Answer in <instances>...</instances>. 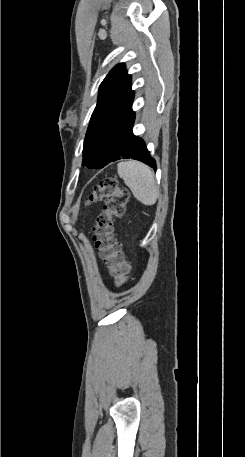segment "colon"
Wrapping results in <instances>:
<instances>
[{"label": "colon", "instance_id": "obj_1", "mask_svg": "<svg viewBox=\"0 0 245 457\" xmlns=\"http://www.w3.org/2000/svg\"><path fill=\"white\" fill-rule=\"evenodd\" d=\"M128 200V191L120 187L114 177L101 180L94 187L88 200L89 203L103 202L102 211L95 220L94 240L118 286L130 279L131 266L114 236L113 224L115 219L124 216Z\"/></svg>", "mask_w": 245, "mask_h": 457}]
</instances>
